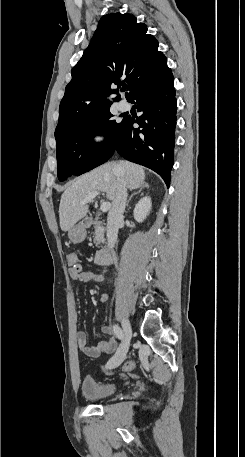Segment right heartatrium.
I'll return each instance as SVG.
<instances>
[{
    "label": "right heart atrium",
    "mask_w": 245,
    "mask_h": 457,
    "mask_svg": "<svg viewBox=\"0 0 245 457\" xmlns=\"http://www.w3.org/2000/svg\"><path fill=\"white\" fill-rule=\"evenodd\" d=\"M94 140L95 141H99V140H101V138L100 137H95Z\"/></svg>",
    "instance_id": "right-heart-atrium-1"
}]
</instances>
